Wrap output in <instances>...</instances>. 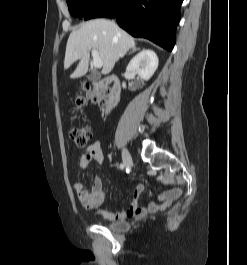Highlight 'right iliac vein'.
Wrapping results in <instances>:
<instances>
[{
    "label": "right iliac vein",
    "instance_id": "1",
    "mask_svg": "<svg viewBox=\"0 0 247 265\" xmlns=\"http://www.w3.org/2000/svg\"><path fill=\"white\" fill-rule=\"evenodd\" d=\"M122 160L126 166H130L132 164V157L127 149H123L122 151Z\"/></svg>",
    "mask_w": 247,
    "mask_h": 265
}]
</instances>
